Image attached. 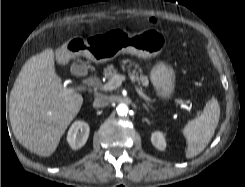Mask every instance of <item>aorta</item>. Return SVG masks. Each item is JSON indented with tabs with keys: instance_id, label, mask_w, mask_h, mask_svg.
I'll use <instances>...</instances> for the list:
<instances>
[{
	"instance_id": "aorta-1",
	"label": "aorta",
	"mask_w": 245,
	"mask_h": 187,
	"mask_svg": "<svg viewBox=\"0 0 245 187\" xmlns=\"http://www.w3.org/2000/svg\"><path fill=\"white\" fill-rule=\"evenodd\" d=\"M117 114L119 116H126L128 114V107L125 104H119L117 107Z\"/></svg>"
}]
</instances>
